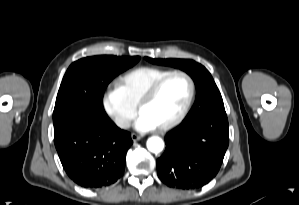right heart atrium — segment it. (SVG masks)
<instances>
[{"mask_svg":"<svg viewBox=\"0 0 299 205\" xmlns=\"http://www.w3.org/2000/svg\"><path fill=\"white\" fill-rule=\"evenodd\" d=\"M101 103L104 112L120 129H126L136 115V107L126 99L117 85L104 90Z\"/></svg>","mask_w":299,"mask_h":205,"instance_id":"right-heart-atrium-1","label":"right heart atrium"}]
</instances>
